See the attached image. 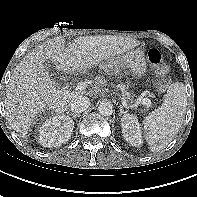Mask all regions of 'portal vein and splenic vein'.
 <instances>
[{
  "mask_svg": "<svg viewBox=\"0 0 197 197\" xmlns=\"http://www.w3.org/2000/svg\"><path fill=\"white\" fill-rule=\"evenodd\" d=\"M87 87V84L85 82H80L76 85V90L82 91L85 90ZM141 104L146 105L147 108L151 106V101L148 98H143L141 101Z\"/></svg>",
  "mask_w": 197,
  "mask_h": 197,
  "instance_id": "1",
  "label": "portal vein and splenic vein"
}]
</instances>
